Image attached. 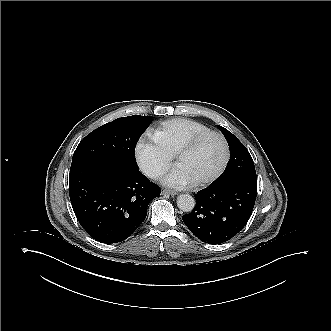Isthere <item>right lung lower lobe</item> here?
<instances>
[{"label": "right lung lower lobe", "instance_id": "98d812e1", "mask_svg": "<svg viewBox=\"0 0 331 331\" xmlns=\"http://www.w3.org/2000/svg\"><path fill=\"white\" fill-rule=\"evenodd\" d=\"M69 195L84 230L93 239L111 244L127 239L139 227L160 189L140 171L94 163L70 169Z\"/></svg>", "mask_w": 331, "mask_h": 331}]
</instances>
